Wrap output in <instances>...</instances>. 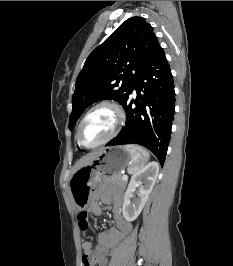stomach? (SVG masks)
<instances>
[{"instance_id":"obj_1","label":"stomach","mask_w":233,"mask_h":266,"mask_svg":"<svg viewBox=\"0 0 233 266\" xmlns=\"http://www.w3.org/2000/svg\"><path fill=\"white\" fill-rule=\"evenodd\" d=\"M130 153L123 146L104 148L90 164L77 169L69 180V189L76 206L86 208L92 191L106 180L107 176L119 174L131 165Z\"/></svg>"}]
</instances>
